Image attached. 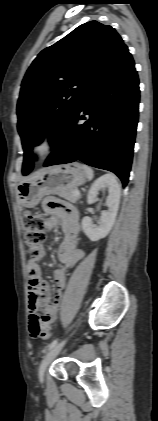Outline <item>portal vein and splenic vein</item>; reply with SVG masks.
Wrapping results in <instances>:
<instances>
[{
  "mask_svg": "<svg viewBox=\"0 0 158 421\" xmlns=\"http://www.w3.org/2000/svg\"><path fill=\"white\" fill-rule=\"evenodd\" d=\"M73 194H74L75 196H80V192H79L78 190H75V191L73 192Z\"/></svg>",
  "mask_w": 158,
  "mask_h": 421,
  "instance_id": "1",
  "label": "portal vein and splenic vein"
}]
</instances>
